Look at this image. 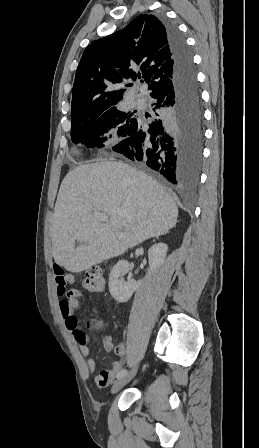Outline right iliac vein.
Listing matches in <instances>:
<instances>
[{
	"instance_id": "right-iliac-vein-1",
	"label": "right iliac vein",
	"mask_w": 259,
	"mask_h": 448,
	"mask_svg": "<svg viewBox=\"0 0 259 448\" xmlns=\"http://www.w3.org/2000/svg\"><path fill=\"white\" fill-rule=\"evenodd\" d=\"M137 373V366L134 367L128 374L124 375L123 377L119 378L112 386L111 392L117 393L119 390H121L131 379L136 375Z\"/></svg>"
}]
</instances>
